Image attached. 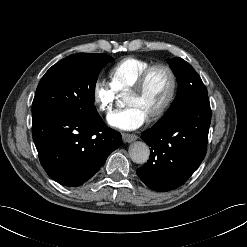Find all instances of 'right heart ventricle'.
<instances>
[{
  "label": "right heart ventricle",
  "instance_id": "obj_1",
  "mask_svg": "<svg viewBox=\"0 0 247 247\" xmlns=\"http://www.w3.org/2000/svg\"><path fill=\"white\" fill-rule=\"evenodd\" d=\"M152 63L135 57H128L115 64L109 71L111 86L117 93L129 91L141 73Z\"/></svg>",
  "mask_w": 247,
  "mask_h": 247
}]
</instances>
